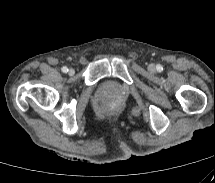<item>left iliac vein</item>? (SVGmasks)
I'll use <instances>...</instances> for the list:
<instances>
[{
    "mask_svg": "<svg viewBox=\"0 0 215 183\" xmlns=\"http://www.w3.org/2000/svg\"><path fill=\"white\" fill-rule=\"evenodd\" d=\"M148 68H149L150 71H154L155 70V66L153 64H150Z\"/></svg>",
    "mask_w": 215,
    "mask_h": 183,
    "instance_id": "4c4485c4",
    "label": "left iliac vein"
}]
</instances>
